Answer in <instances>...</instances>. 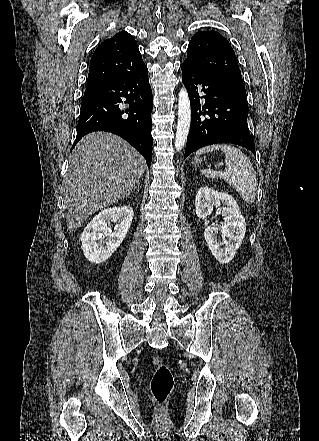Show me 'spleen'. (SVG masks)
I'll list each match as a JSON object with an SVG mask.
<instances>
[{
    "instance_id": "1",
    "label": "spleen",
    "mask_w": 319,
    "mask_h": 441,
    "mask_svg": "<svg viewBox=\"0 0 319 441\" xmlns=\"http://www.w3.org/2000/svg\"><path fill=\"white\" fill-rule=\"evenodd\" d=\"M221 149L225 154L226 170L218 172L211 169L201 170L207 178L220 177L234 188L248 204L255 201L257 178L250 159L240 149L232 145H211L199 149L196 154L201 155L209 151Z\"/></svg>"
}]
</instances>
